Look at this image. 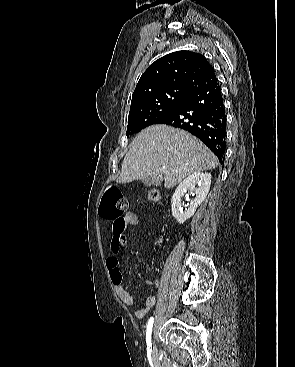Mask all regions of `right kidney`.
Instances as JSON below:
<instances>
[{
  "label": "right kidney",
  "mask_w": 295,
  "mask_h": 367,
  "mask_svg": "<svg viewBox=\"0 0 295 367\" xmlns=\"http://www.w3.org/2000/svg\"><path fill=\"white\" fill-rule=\"evenodd\" d=\"M198 185V187H196ZM211 185V174L210 173H194L184 179L176 188L175 193L172 196V215L178 223L183 224L187 219L191 218L196 208L206 198ZM190 191L194 196L191 200L190 206L182 209V197L184 194Z\"/></svg>",
  "instance_id": "ca27d5eb"
}]
</instances>
